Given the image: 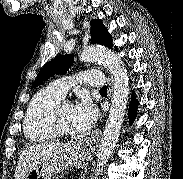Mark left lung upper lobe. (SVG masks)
<instances>
[{"label":"left lung upper lobe","mask_w":183,"mask_h":179,"mask_svg":"<svg viewBox=\"0 0 183 179\" xmlns=\"http://www.w3.org/2000/svg\"><path fill=\"white\" fill-rule=\"evenodd\" d=\"M91 39L94 44H100L106 47H112L111 35L104 27L101 20H91ZM116 49V47H115ZM73 64L72 55H59L52 61L46 63V65L40 70L37 78L35 79L32 88L39 86L43 81L50 78L54 74H64Z\"/></svg>","instance_id":"obj_1"}]
</instances>
